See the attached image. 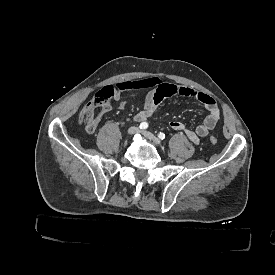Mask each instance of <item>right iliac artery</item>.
Here are the masks:
<instances>
[{"label": "right iliac artery", "instance_id": "82829eb1", "mask_svg": "<svg viewBox=\"0 0 275 275\" xmlns=\"http://www.w3.org/2000/svg\"><path fill=\"white\" fill-rule=\"evenodd\" d=\"M148 127V123L142 122L139 126L140 129H146Z\"/></svg>", "mask_w": 275, "mask_h": 275}]
</instances>
